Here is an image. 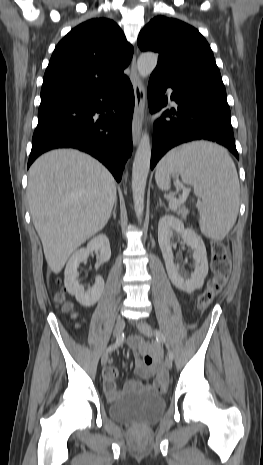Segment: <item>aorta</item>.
Returning a JSON list of instances; mask_svg holds the SVG:
<instances>
[{
    "instance_id": "1",
    "label": "aorta",
    "mask_w": 263,
    "mask_h": 465,
    "mask_svg": "<svg viewBox=\"0 0 263 465\" xmlns=\"http://www.w3.org/2000/svg\"><path fill=\"white\" fill-rule=\"evenodd\" d=\"M158 56L152 52L142 53L137 61L138 73L142 78L148 77L155 69ZM151 146L149 135L145 132L138 145L132 168V193L134 210L138 222H142L146 181L150 169Z\"/></svg>"
}]
</instances>
